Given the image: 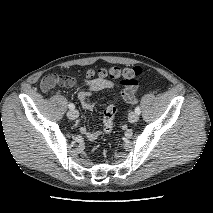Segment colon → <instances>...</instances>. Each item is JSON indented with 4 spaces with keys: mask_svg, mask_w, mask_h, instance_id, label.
<instances>
[{
    "mask_svg": "<svg viewBox=\"0 0 213 213\" xmlns=\"http://www.w3.org/2000/svg\"><path fill=\"white\" fill-rule=\"evenodd\" d=\"M99 74L103 77H109L114 80H118L125 88L122 91V96L129 98L132 95V89L136 88L137 77L141 74L139 67L133 68H120L112 67L110 69H103L99 71ZM60 82H71L73 80L70 76H58ZM116 114V108L113 105L107 106L103 111V131L105 134H111L114 125V118Z\"/></svg>",
    "mask_w": 213,
    "mask_h": 213,
    "instance_id": "colon-1",
    "label": "colon"
}]
</instances>
